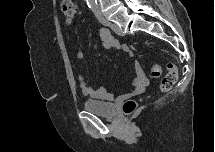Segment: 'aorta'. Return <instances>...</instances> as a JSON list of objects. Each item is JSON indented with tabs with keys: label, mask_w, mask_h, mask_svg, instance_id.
<instances>
[{
	"label": "aorta",
	"mask_w": 215,
	"mask_h": 152,
	"mask_svg": "<svg viewBox=\"0 0 215 152\" xmlns=\"http://www.w3.org/2000/svg\"><path fill=\"white\" fill-rule=\"evenodd\" d=\"M90 8L94 9L97 7V0H88Z\"/></svg>",
	"instance_id": "1"
}]
</instances>
